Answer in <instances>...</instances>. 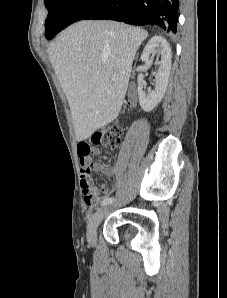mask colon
I'll use <instances>...</instances> for the list:
<instances>
[{"label":"colon","mask_w":227,"mask_h":298,"mask_svg":"<svg viewBox=\"0 0 227 298\" xmlns=\"http://www.w3.org/2000/svg\"><path fill=\"white\" fill-rule=\"evenodd\" d=\"M121 141V130L116 125H109L93 134L91 143L96 146L116 147ZM89 146H91L89 144ZM84 198L88 205H95L99 199L98 194L85 185Z\"/></svg>","instance_id":"colon-1"}]
</instances>
